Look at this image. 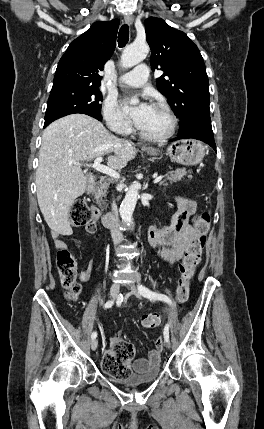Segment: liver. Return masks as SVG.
I'll return each mask as SVG.
<instances>
[{
	"mask_svg": "<svg viewBox=\"0 0 264 429\" xmlns=\"http://www.w3.org/2000/svg\"><path fill=\"white\" fill-rule=\"evenodd\" d=\"M108 153L113 155L108 157L107 165L122 169L135 158L137 150L85 114L65 116L44 130L36 171V193L44 219L56 234H72L68 213L87 184L81 167L70 162L90 161Z\"/></svg>",
	"mask_w": 264,
	"mask_h": 429,
	"instance_id": "1",
	"label": "liver"
}]
</instances>
